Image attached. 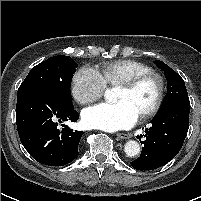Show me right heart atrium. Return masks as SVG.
Listing matches in <instances>:
<instances>
[{"label":"right heart atrium","mask_w":201,"mask_h":201,"mask_svg":"<svg viewBox=\"0 0 201 201\" xmlns=\"http://www.w3.org/2000/svg\"><path fill=\"white\" fill-rule=\"evenodd\" d=\"M106 90V82L101 73L90 67L79 69L72 78L73 98L81 105H87L101 98Z\"/></svg>","instance_id":"obj_1"}]
</instances>
